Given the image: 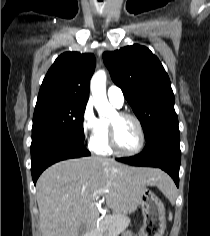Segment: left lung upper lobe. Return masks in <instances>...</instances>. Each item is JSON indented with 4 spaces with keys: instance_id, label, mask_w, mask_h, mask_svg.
I'll use <instances>...</instances> for the list:
<instances>
[{
    "instance_id": "5c2ea615",
    "label": "left lung upper lobe",
    "mask_w": 210,
    "mask_h": 236,
    "mask_svg": "<svg viewBox=\"0 0 210 236\" xmlns=\"http://www.w3.org/2000/svg\"><path fill=\"white\" fill-rule=\"evenodd\" d=\"M103 60L140 120L146 139L163 127L178 126L169 77L147 47L135 44L105 52Z\"/></svg>"
}]
</instances>
